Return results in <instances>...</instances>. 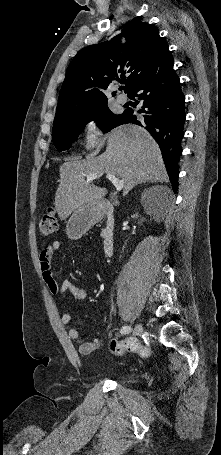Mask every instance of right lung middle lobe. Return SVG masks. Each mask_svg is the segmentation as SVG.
Returning a JSON list of instances; mask_svg holds the SVG:
<instances>
[{"instance_id":"1","label":"right lung middle lobe","mask_w":221,"mask_h":455,"mask_svg":"<svg viewBox=\"0 0 221 455\" xmlns=\"http://www.w3.org/2000/svg\"><path fill=\"white\" fill-rule=\"evenodd\" d=\"M123 116L124 113L112 114L106 101L86 111L60 119L54 122L53 126L54 145L58 151L67 150L77 140L88 122L95 120L105 131H109L119 125Z\"/></svg>"}]
</instances>
